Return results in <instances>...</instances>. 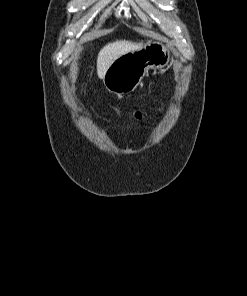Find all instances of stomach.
<instances>
[{
	"label": "stomach",
	"instance_id": "stomach-1",
	"mask_svg": "<svg viewBox=\"0 0 247 296\" xmlns=\"http://www.w3.org/2000/svg\"><path fill=\"white\" fill-rule=\"evenodd\" d=\"M171 60L167 46L158 41H148L136 51L117 58L104 77L105 88L114 94L123 95L134 91L149 69H161Z\"/></svg>",
	"mask_w": 247,
	"mask_h": 296
}]
</instances>
